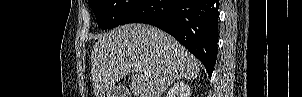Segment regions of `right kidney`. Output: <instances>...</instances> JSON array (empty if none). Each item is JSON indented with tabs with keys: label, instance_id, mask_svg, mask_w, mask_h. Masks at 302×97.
<instances>
[{
	"label": "right kidney",
	"instance_id": "right-kidney-1",
	"mask_svg": "<svg viewBox=\"0 0 302 97\" xmlns=\"http://www.w3.org/2000/svg\"><path fill=\"white\" fill-rule=\"evenodd\" d=\"M168 97H189L190 87L188 84L180 81L176 83L167 95Z\"/></svg>",
	"mask_w": 302,
	"mask_h": 97
}]
</instances>
